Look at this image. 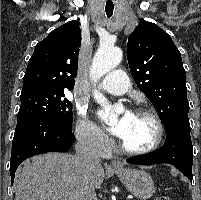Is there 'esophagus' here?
I'll use <instances>...</instances> for the list:
<instances>
[{
	"label": "esophagus",
	"instance_id": "esophagus-1",
	"mask_svg": "<svg viewBox=\"0 0 201 200\" xmlns=\"http://www.w3.org/2000/svg\"><path fill=\"white\" fill-rule=\"evenodd\" d=\"M111 165H112V167L113 168H115V169H122V164L120 163V162H118V161H113L112 163H111Z\"/></svg>",
	"mask_w": 201,
	"mask_h": 200
}]
</instances>
